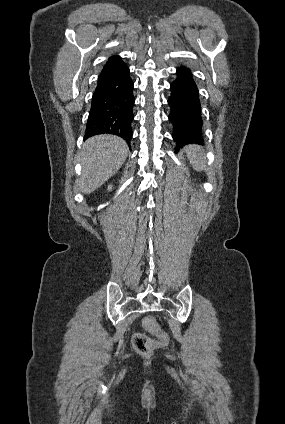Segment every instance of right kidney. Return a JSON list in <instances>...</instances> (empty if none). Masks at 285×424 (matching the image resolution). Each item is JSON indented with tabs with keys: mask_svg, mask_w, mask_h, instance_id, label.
Here are the masks:
<instances>
[{
	"mask_svg": "<svg viewBox=\"0 0 285 424\" xmlns=\"http://www.w3.org/2000/svg\"><path fill=\"white\" fill-rule=\"evenodd\" d=\"M111 189H112V186H111V185H109V186H108V191H111Z\"/></svg>",
	"mask_w": 285,
	"mask_h": 424,
	"instance_id": "1",
	"label": "right kidney"
}]
</instances>
